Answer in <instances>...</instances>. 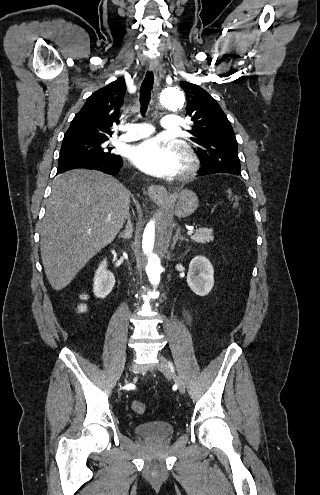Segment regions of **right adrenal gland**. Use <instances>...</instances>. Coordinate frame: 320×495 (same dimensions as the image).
<instances>
[{
	"label": "right adrenal gland",
	"instance_id": "2a0ac1e0",
	"mask_svg": "<svg viewBox=\"0 0 320 495\" xmlns=\"http://www.w3.org/2000/svg\"><path fill=\"white\" fill-rule=\"evenodd\" d=\"M132 234H133V224L131 222L130 215H128L126 229L119 234V238L129 240L132 238Z\"/></svg>",
	"mask_w": 320,
	"mask_h": 495
}]
</instances>
